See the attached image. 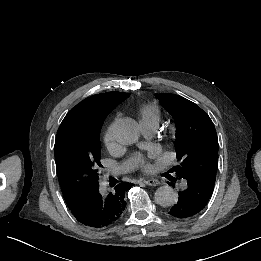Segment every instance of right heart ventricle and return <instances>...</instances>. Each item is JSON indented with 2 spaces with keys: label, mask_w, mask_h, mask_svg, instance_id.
I'll return each instance as SVG.
<instances>
[{
  "label": "right heart ventricle",
  "mask_w": 261,
  "mask_h": 261,
  "mask_svg": "<svg viewBox=\"0 0 261 261\" xmlns=\"http://www.w3.org/2000/svg\"><path fill=\"white\" fill-rule=\"evenodd\" d=\"M160 116L161 112L159 108L153 103L144 105L139 111L140 123H153L157 125Z\"/></svg>",
  "instance_id": "e07e8e85"
}]
</instances>
